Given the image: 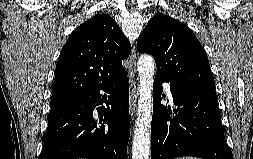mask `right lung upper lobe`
I'll list each match as a JSON object with an SVG mask.
<instances>
[{
    "label": "right lung upper lobe",
    "instance_id": "cb5924a9",
    "mask_svg": "<svg viewBox=\"0 0 253 159\" xmlns=\"http://www.w3.org/2000/svg\"><path fill=\"white\" fill-rule=\"evenodd\" d=\"M129 40L108 14H97L77 27L56 65L51 103L77 100L124 71Z\"/></svg>",
    "mask_w": 253,
    "mask_h": 159
}]
</instances>
